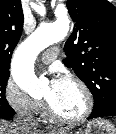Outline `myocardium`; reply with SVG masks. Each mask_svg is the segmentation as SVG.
I'll list each match as a JSON object with an SVG mask.
<instances>
[{
    "mask_svg": "<svg viewBox=\"0 0 116 134\" xmlns=\"http://www.w3.org/2000/svg\"><path fill=\"white\" fill-rule=\"evenodd\" d=\"M62 81L73 83L80 89V91L82 92V94L84 96V102H85L84 109L77 116L67 117V116H64V115L58 113L51 106L50 102L48 100H46L48 113L55 120L62 122V123H66V124L80 123V122L84 121L85 119H87L93 110V106H94L93 95H92L90 89L88 88V86L82 80H80L79 78H77L75 76H72V75L64 76L62 78Z\"/></svg>",
    "mask_w": 116,
    "mask_h": 134,
    "instance_id": "obj_1",
    "label": "myocardium"
}]
</instances>
